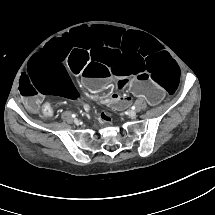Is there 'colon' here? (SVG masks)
<instances>
[{"label": "colon", "mask_w": 215, "mask_h": 215, "mask_svg": "<svg viewBox=\"0 0 215 215\" xmlns=\"http://www.w3.org/2000/svg\"><path fill=\"white\" fill-rule=\"evenodd\" d=\"M43 116L45 118H51L52 114H53V111H52V107H51V104L46 102L44 105H43Z\"/></svg>", "instance_id": "colon-1"}]
</instances>
